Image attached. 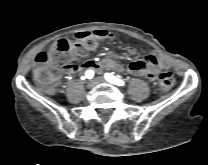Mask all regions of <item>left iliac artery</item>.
Listing matches in <instances>:
<instances>
[{"label":"left iliac artery","instance_id":"44dca946","mask_svg":"<svg viewBox=\"0 0 208 165\" xmlns=\"http://www.w3.org/2000/svg\"><path fill=\"white\" fill-rule=\"evenodd\" d=\"M105 78L108 82L112 83V84H115V85H119V86H123L124 85V82L122 80H120L119 78L109 74V73H106L105 74Z\"/></svg>","mask_w":208,"mask_h":165}]
</instances>
